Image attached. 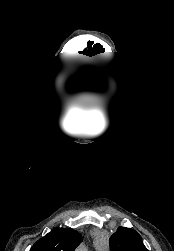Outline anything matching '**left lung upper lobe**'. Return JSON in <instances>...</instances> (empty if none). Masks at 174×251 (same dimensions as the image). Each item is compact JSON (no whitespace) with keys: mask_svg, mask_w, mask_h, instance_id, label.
Returning <instances> with one entry per match:
<instances>
[{"mask_svg":"<svg viewBox=\"0 0 174 251\" xmlns=\"http://www.w3.org/2000/svg\"><path fill=\"white\" fill-rule=\"evenodd\" d=\"M110 251H148L141 236L133 229L119 227L109 240Z\"/></svg>","mask_w":174,"mask_h":251,"instance_id":"5c2ea615","label":"left lung upper lobe"}]
</instances>
